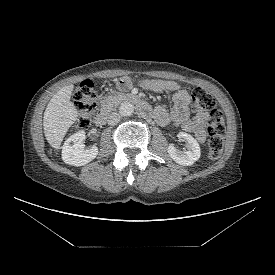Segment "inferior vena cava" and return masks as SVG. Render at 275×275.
Instances as JSON below:
<instances>
[{
  "mask_svg": "<svg viewBox=\"0 0 275 275\" xmlns=\"http://www.w3.org/2000/svg\"><path fill=\"white\" fill-rule=\"evenodd\" d=\"M121 117L117 112H112L108 117V124L115 125L120 121Z\"/></svg>",
  "mask_w": 275,
  "mask_h": 275,
  "instance_id": "602c4592",
  "label": "inferior vena cava"
}]
</instances>
